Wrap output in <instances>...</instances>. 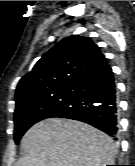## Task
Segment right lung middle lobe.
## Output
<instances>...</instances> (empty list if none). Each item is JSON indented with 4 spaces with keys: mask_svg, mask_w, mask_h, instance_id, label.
I'll list each match as a JSON object with an SVG mask.
<instances>
[{
    "mask_svg": "<svg viewBox=\"0 0 135 166\" xmlns=\"http://www.w3.org/2000/svg\"><path fill=\"white\" fill-rule=\"evenodd\" d=\"M74 96V86L64 88L50 96L43 97L15 109L14 140L18 144L22 135L35 123L50 118L57 111L66 108Z\"/></svg>",
    "mask_w": 135,
    "mask_h": 166,
    "instance_id": "dd1d6c3e",
    "label": "right lung middle lobe"
}]
</instances>
